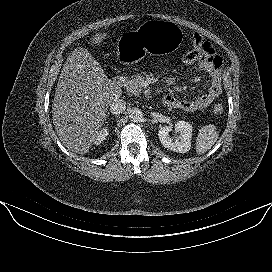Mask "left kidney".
<instances>
[{
  "mask_svg": "<svg viewBox=\"0 0 272 272\" xmlns=\"http://www.w3.org/2000/svg\"><path fill=\"white\" fill-rule=\"evenodd\" d=\"M192 130V125L188 122L178 121L175 124V131L179 132V137L176 139L170 137L169 133L172 131L170 126L161 127L158 137L165 148L178 153H186L191 147Z\"/></svg>",
  "mask_w": 272,
  "mask_h": 272,
  "instance_id": "1",
  "label": "left kidney"
}]
</instances>
